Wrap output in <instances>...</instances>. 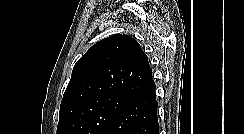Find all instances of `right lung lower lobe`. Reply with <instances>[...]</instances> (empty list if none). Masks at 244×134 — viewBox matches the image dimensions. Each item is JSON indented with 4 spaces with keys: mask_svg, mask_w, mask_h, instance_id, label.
I'll return each instance as SVG.
<instances>
[{
    "mask_svg": "<svg viewBox=\"0 0 244 134\" xmlns=\"http://www.w3.org/2000/svg\"><path fill=\"white\" fill-rule=\"evenodd\" d=\"M155 88L133 98L101 134H158Z\"/></svg>",
    "mask_w": 244,
    "mask_h": 134,
    "instance_id": "98d812e1",
    "label": "right lung lower lobe"
}]
</instances>
